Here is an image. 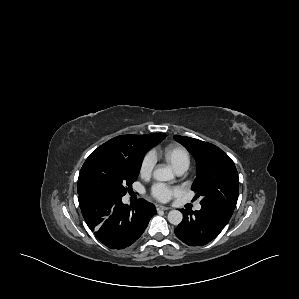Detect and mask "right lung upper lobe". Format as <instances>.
I'll return each instance as SVG.
<instances>
[{
	"instance_id": "right-lung-upper-lobe-1",
	"label": "right lung upper lobe",
	"mask_w": 299,
	"mask_h": 299,
	"mask_svg": "<svg viewBox=\"0 0 299 299\" xmlns=\"http://www.w3.org/2000/svg\"><path fill=\"white\" fill-rule=\"evenodd\" d=\"M164 133H152L147 135H121L106 143L115 148L119 153L128 159L139 160L144 157L147 150V141L155 138L164 137Z\"/></svg>"
}]
</instances>
